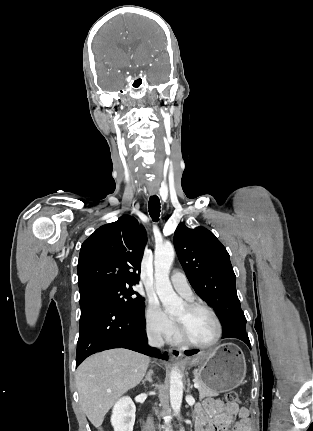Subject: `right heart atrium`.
<instances>
[{
  "label": "right heart atrium",
  "instance_id": "obj_1",
  "mask_svg": "<svg viewBox=\"0 0 313 431\" xmlns=\"http://www.w3.org/2000/svg\"><path fill=\"white\" fill-rule=\"evenodd\" d=\"M145 322L149 332L165 339H169L176 332L174 322L155 300H150L147 304Z\"/></svg>",
  "mask_w": 313,
  "mask_h": 431
}]
</instances>
